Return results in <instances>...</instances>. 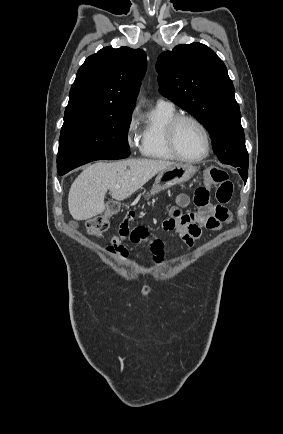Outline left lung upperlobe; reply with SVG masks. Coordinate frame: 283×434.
Listing matches in <instances>:
<instances>
[{
  "instance_id": "1",
  "label": "left lung upper lobe",
  "mask_w": 283,
  "mask_h": 434,
  "mask_svg": "<svg viewBox=\"0 0 283 434\" xmlns=\"http://www.w3.org/2000/svg\"><path fill=\"white\" fill-rule=\"evenodd\" d=\"M160 93L208 130L220 162L248 166L241 113L227 68L201 43L181 44L158 56Z\"/></svg>"
}]
</instances>
